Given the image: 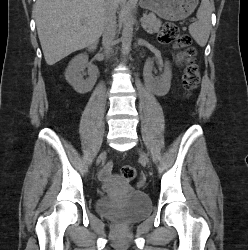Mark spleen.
<instances>
[{
	"instance_id": "spleen-1",
	"label": "spleen",
	"mask_w": 248,
	"mask_h": 250,
	"mask_svg": "<svg viewBox=\"0 0 248 250\" xmlns=\"http://www.w3.org/2000/svg\"><path fill=\"white\" fill-rule=\"evenodd\" d=\"M212 4L209 0H202L197 11V22L189 26V33L201 47L205 46L211 30Z\"/></svg>"
}]
</instances>
